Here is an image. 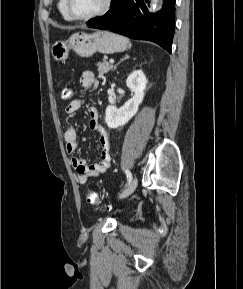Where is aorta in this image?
Returning <instances> with one entry per match:
<instances>
[{"label": "aorta", "instance_id": "obj_1", "mask_svg": "<svg viewBox=\"0 0 243 289\" xmlns=\"http://www.w3.org/2000/svg\"><path fill=\"white\" fill-rule=\"evenodd\" d=\"M159 0H152L153 7H156Z\"/></svg>", "mask_w": 243, "mask_h": 289}]
</instances>
